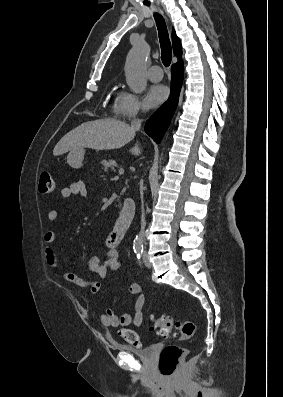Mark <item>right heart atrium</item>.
Wrapping results in <instances>:
<instances>
[{"mask_svg": "<svg viewBox=\"0 0 283 397\" xmlns=\"http://www.w3.org/2000/svg\"><path fill=\"white\" fill-rule=\"evenodd\" d=\"M113 111L118 117L131 120L140 116L145 107L137 95L122 91L115 100Z\"/></svg>", "mask_w": 283, "mask_h": 397, "instance_id": "d8ad5b80", "label": "right heart atrium"}]
</instances>
